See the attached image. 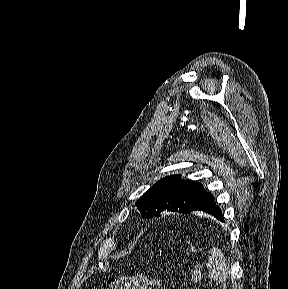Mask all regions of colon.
<instances>
[{
	"label": "colon",
	"mask_w": 288,
	"mask_h": 289,
	"mask_svg": "<svg viewBox=\"0 0 288 289\" xmlns=\"http://www.w3.org/2000/svg\"><path fill=\"white\" fill-rule=\"evenodd\" d=\"M103 289H163V285L158 279L136 273L112 279Z\"/></svg>",
	"instance_id": "5ec220e1"
}]
</instances>
